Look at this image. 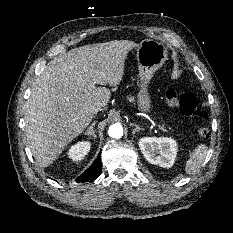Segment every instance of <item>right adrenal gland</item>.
<instances>
[{"instance_id":"1","label":"right adrenal gland","mask_w":233,"mask_h":233,"mask_svg":"<svg viewBox=\"0 0 233 233\" xmlns=\"http://www.w3.org/2000/svg\"><path fill=\"white\" fill-rule=\"evenodd\" d=\"M96 122L94 121L91 126L86 130L85 135H92L94 137V139L96 138V134L94 132V126H95Z\"/></svg>"}]
</instances>
